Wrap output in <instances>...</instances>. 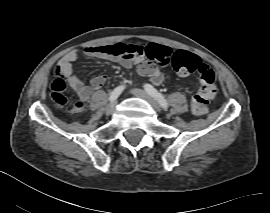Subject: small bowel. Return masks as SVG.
I'll use <instances>...</instances> for the list:
<instances>
[{"label": "small bowel", "mask_w": 270, "mask_h": 213, "mask_svg": "<svg viewBox=\"0 0 270 213\" xmlns=\"http://www.w3.org/2000/svg\"><path fill=\"white\" fill-rule=\"evenodd\" d=\"M151 50L157 59L164 65L166 62H170L175 54V51L167 45L153 44L151 46ZM83 53L89 58L115 61L127 69L135 67L136 72L139 75L150 76L153 84L155 85H159L163 80L162 73L157 67L145 62H136L134 59L128 56H119L114 53L110 45L88 46L83 50ZM76 58L77 51L72 50L66 53L59 60L57 64V71L59 75L55 80L60 82L61 89L63 91L66 89V87H70L76 91L81 101L79 103L83 104L91 98L93 91L98 90L107 81V76H96L92 79L90 85H87L73 68V62L76 60ZM81 110L82 109L76 108L75 106L72 108L73 113H78Z\"/></svg>", "instance_id": "1"}]
</instances>
